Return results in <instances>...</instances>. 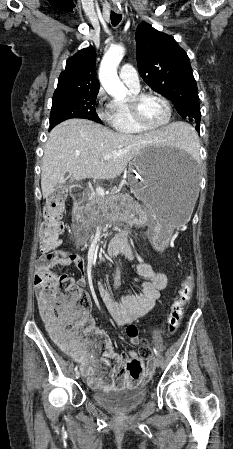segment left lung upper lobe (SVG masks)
<instances>
[{
    "label": "left lung upper lobe",
    "instance_id": "5c2ea615",
    "mask_svg": "<svg viewBox=\"0 0 233 449\" xmlns=\"http://www.w3.org/2000/svg\"><path fill=\"white\" fill-rule=\"evenodd\" d=\"M137 65L143 80L174 104L182 118L196 124L201 113L196 81L187 53L174 38L143 22L136 30Z\"/></svg>",
    "mask_w": 233,
    "mask_h": 449
}]
</instances>
